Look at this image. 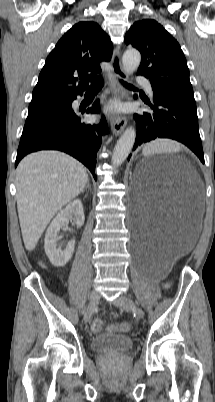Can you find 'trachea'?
Segmentation results:
<instances>
[{"label":"trachea","mask_w":215,"mask_h":402,"mask_svg":"<svg viewBox=\"0 0 215 402\" xmlns=\"http://www.w3.org/2000/svg\"><path fill=\"white\" fill-rule=\"evenodd\" d=\"M120 82L122 83L123 86L127 87V88H134V86L124 82L123 80H120ZM104 82L101 76H97L95 78L91 79V85H90V89H101L103 86Z\"/></svg>","instance_id":"1"}]
</instances>
